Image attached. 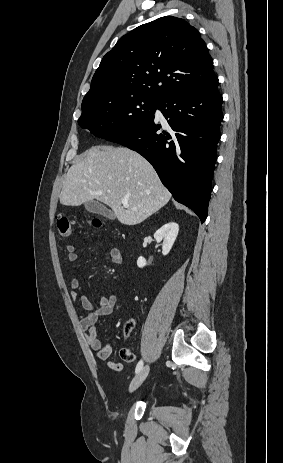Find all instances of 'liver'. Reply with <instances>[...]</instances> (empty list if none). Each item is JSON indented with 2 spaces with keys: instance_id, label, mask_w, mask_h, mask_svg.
Instances as JSON below:
<instances>
[{
  "instance_id": "obj_1",
  "label": "liver",
  "mask_w": 283,
  "mask_h": 463,
  "mask_svg": "<svg viewBox=\"0 0 283 463\" xmlns=\"http://www.w3.org/2000/svg\"><path fill=\"white\" fill-rule=\"evenodd\" d=\"M60 203L79 206L88 201L107 204L125 225H136L165 206L171 193L152 165L124 147L95 146L70 167L63 182ZM128 200V207L121 200Z\"/></svg>"
}]
</instances>
